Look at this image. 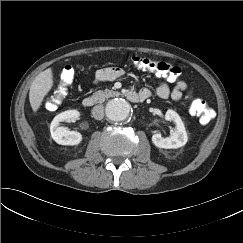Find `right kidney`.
<instances>
[{
  "label": "right kidney",
  "mask_w": 243,
  "mask_h": 243,
  "mask_svg": "<svg viewBox=\"0 0 243 243\" xmlns=\"http://www.w3.org/2000/svg\"><path fill=\"white\" fill-rule=\"evenodd\" d=\"M80 113L77 110H67L57 116L51 122L50 132L52 139L60 145H78L82 141V135L76 131H69L66 127L59 126L60 122L78 118Z\"/></svg>",
  "instance_id": "ca27d5eb"
}]
</instances>
